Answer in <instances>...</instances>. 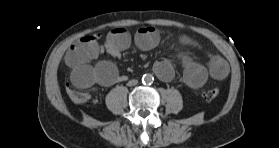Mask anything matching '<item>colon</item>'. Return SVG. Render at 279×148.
Returning a JSON list of instances; mask_svg holds the SVG:
<instances>
[{
  "instance_id": "colon-1",
  "label": "colon",
  "mask_w": 279,
  "mask_h": 148,
  "mask_svg": "<svg viewBox=\"0 0 279 148\" xmlns=\"http://www.w3.org/2000/svg\"><path fill=\"white\" fill-rule=\"evenodd\" d=\"M68 91H69V94H70L72 100L77 104H86V103L92 101L91 96L87 93L77 92V91L73 90L72 88H70L69 86H68ZM218 95H219V89L216 87L207 88L203 92L204 99H206L208 101L214 100L215 98L218 97Z\"/></svg>"
}]
</instances>
